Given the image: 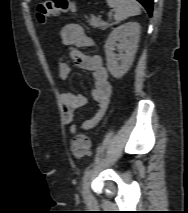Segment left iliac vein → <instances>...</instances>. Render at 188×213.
Returning a JSON list of instances; mask_svg holds the SVG:
<instances>
[{
  "label": "left iliac vein",
  "mask_w": 188,
  "mask_h": 213,
  "mask_svg": "<svg viewBox=\"0 0 188 213\" xmlns=\"http://www.w3.org/2000/svg\"><path fill=\"white\" fill-rule=\"evenodd\" d=\"M90 194L89 191V180L87 179L84 183H83V187H82V195L84 197H88Z\"/></svg>",
  "instance_id": "left-iliac-vein-1"
}]
</instances>
